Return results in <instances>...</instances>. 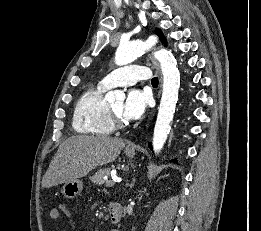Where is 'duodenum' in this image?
I'll return each instance as SVG.
<instances>
[{
	"mask_svg": "<svg viewBox=\"0 0 261 231\" xmlns=\"http://www.w3.org/2000/svg\"><path fill=\"white\" fill-rule=\"evenodd\" d=\"M110 219L113 222H118L123 216V206L121 203L112 202L108 205Z\"/></svg>",
	"mask_w": 261,
	"mask_h": 231,
	"instance_id": "410a0bca",
	"label": "duodenum"
}]
</instances>
